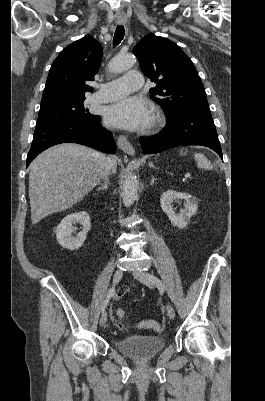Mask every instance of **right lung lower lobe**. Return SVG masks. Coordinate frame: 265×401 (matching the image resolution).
<instances>
[{"label": "right lung lower lobe", "mask_w": 265, "mask_h": 401, "mask_svg": "<svg viewBox=\"0 0 265 401\" xmlns=\"http://www.w3.org/2000/svg\"><path fill=\"white\" fill-rule=\"evenodd\" d=\"M65 142L83 144L111 154L116 152L112 133L102 127L100 120H49L36 124L27 166L42 151Z\"/></svg>", "instance_id": "obj_1"}]
</instances>
